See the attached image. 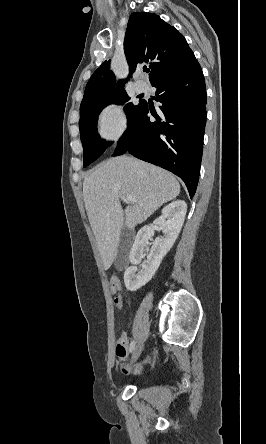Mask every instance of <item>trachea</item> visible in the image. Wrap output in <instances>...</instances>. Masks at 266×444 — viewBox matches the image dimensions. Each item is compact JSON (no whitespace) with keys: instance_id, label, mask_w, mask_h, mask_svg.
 Listing matches in <instances>:
<instances>
[{"instance_id":"obj_1","label":"trachea","mask_w":266,"mask_h":444,"mask_svg":"<svg viewBox=\"0 0 266 444\" xmlns=\"http://www.w3.org/2000/svg\"><path fill=\"white\" fill-rule=\"evenodd\" d=\"M143 71H144V72H148L149 70H148L147 67H144V68H143Z\"/></svg>"}]
</instances>
